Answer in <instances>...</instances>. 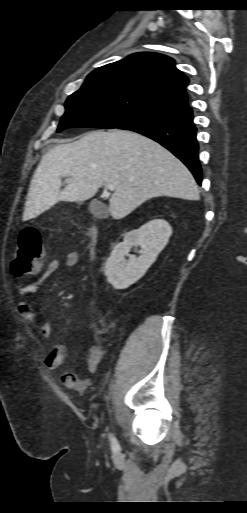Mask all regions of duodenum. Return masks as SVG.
<instances>
[{
    "label": "duodenum",
    "mask_w": 247,
    "mask_h": 513,
    "mask_svg": "<svg viewBox=\"0 0 247 513\" xmlns=\"http://www.w3.org/2000/svg\"><path fill=\"white\" fill-rule=\"evenodd\" d=\"M88 233H89V238H90L89 245H88V251H89V255L91 257H94L95 253H96L97 228L95 226H90Z\"/></svg>",
    "instance_id": "obj_1"
}]
</instances>
